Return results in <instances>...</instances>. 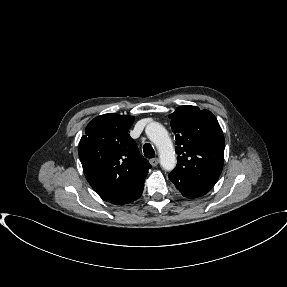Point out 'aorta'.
Wrapping results in <instances>:
<instances>
[{"label":"aorta","mask_w":287,"mask_h":287,"mask_svg":"<svg viewBox=\"0 0 287 287\" xmlns=\"http://www.w3.org/2000/svg\"><path fill=\"white\" fill-rule=\"evenodd\" d=\"M145 132L158 149L161 167L167 171L173 170L176 166L175 150L165 127L158 122H150Z\"/></svg>","instance_id":"762f6f07"}]
</instances>
